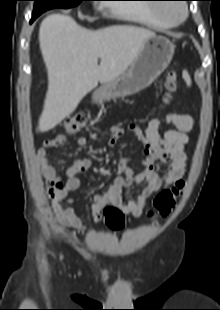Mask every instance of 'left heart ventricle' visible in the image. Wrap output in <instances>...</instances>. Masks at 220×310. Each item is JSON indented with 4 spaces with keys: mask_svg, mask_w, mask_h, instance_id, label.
<instances>
[{
    "mask_svg": "<svg viewBox=\"0 0 220 310\" xmlns=\"http://www.w3.org/2000/svg\"><path fill=\"white\" fill-rule=\"evenodd\" d=\"M165 13L167 15L175 17V16L179 15L180 9L177 6L169 5V6H166Z\"/></svg>",
    "mask_w": 220,
    "mask_h": 310,
    "instance_id": "obj_1",
    "label": "left heart ventricle"
}]
</instances>
